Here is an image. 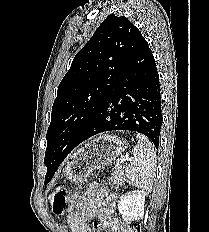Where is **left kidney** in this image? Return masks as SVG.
<instances>
[{
  "instance_id": "obj_1",
  "label": "left kidney",
  "mask_w": 209,
  "mask_h": 232,
  "mask_svg": "<svg viewBox=\"0 0 209 232\" xmlns=\"http://www.w3.org/2000/svg\"><path fill=\"white\" fill-rule=\"evenodd\" d=\"M145 192L131 191L120 198L118 203L119 213L123 220H139L144 215Z\"/></svg>"
}]
</instances>
